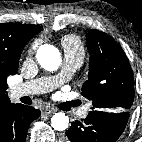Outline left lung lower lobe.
I'll return each instance as SVG.
<instances>
[{"label":"left lung lower lobe","mask_w":142,"mask_h":142,"mask_svg":"<svg viewBox=\"0 0 142 142\" xmlns=\"http://www.w3.org/2000/svg\"><path fill=\"white\" fill-rule=\"evenodd\" d=\"M129 111L92 110L81 121L71 123L64 142H116L123 133Z\"/></svg>","instance_id":"left-lung-lower-lobe-1"}]
</instances>
